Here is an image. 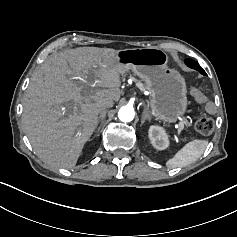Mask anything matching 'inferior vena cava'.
Segmentation results:
<instances>
[{
	"instance_id": "obj_1",
	"label": "inferior vena cava",
	"mask_w": 237,
	"mask_h": 237,
	"mask_svg": "<svg viewBox=\"0 0 237 237\" xmlns=\"http://www.w3.org/2000/svg\"><path fill=\"white\" fill-rule=\"evenodd\" d=\"M114 104L113 100L112 99H103L101 102H100V106L101 108L105 109V108H109V107H112Z\"/></svg>"
}]
</instances>
